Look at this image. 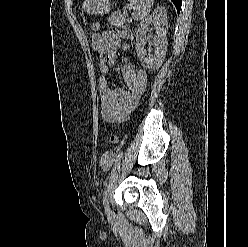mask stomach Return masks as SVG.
<instances>
[{"label":"stomach","mask_w":248,"mask_h":247,"mask_svg":"<svg viewBox=\"0 0 248 247\" xmlns=\"http://www.w3.org/2000/svg\"><path fill=\"white\" fill-rule=\"evenodd\" d=\"M82 10L91 14H105L110 11L109 0H85Z\"/></svg>","instance_id":"obj_1"}]
</instances>
